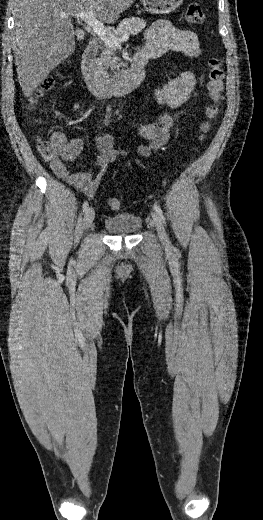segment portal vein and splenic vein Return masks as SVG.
<instances>
[{
	"instance_id": "obj_1",
	"label": "portal vein and splenic vein",
	"mask_w": 263,
	"mask_h": 520,
	"mask_svg": "<svg viewBox=\"0 0 263 520\" xmlns=\"http://www.w3.org/2000/svg\"><path fill=\"white\" fill-rule=\"evenodd\" d=\"M68 14H62L61 17H67ZM74 17L83 20L88 27L97 34L107 45L111 47H118L120 43L129 39V34H124L120 38L114 36V34L108 30L101 21L96 19L93 11L75 13Z\"/></svg>"
}]
</instances>
